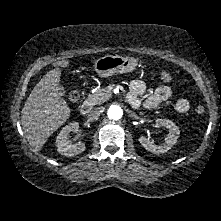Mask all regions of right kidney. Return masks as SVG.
Returning a JSON list of instances; mask_svg holds the SVG:
<instances>
[{"instance_id": "ca27d5eb", "label": "right kidney", "mask_w": 221, "mask_h": 221, "mask_svg": "<svg viewBox=\"0 0 221 221\" xmlns=\"http://www.w3.org/2000/svg\"><path fill=\"white\" fill-rule=\"evenodd\" d=\"M79 129V123L73 122L65 126L56 138L57 150L60 154L71 157L82 153L85 150V144L78 142L72 144L69 140V134L71 132H77Z\"/></svg>"}]
</instances>
